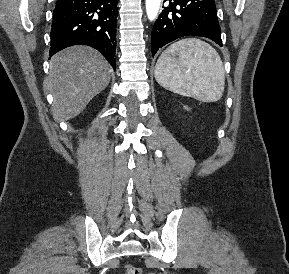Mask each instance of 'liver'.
<instances>
[{
  "instance_id": "1",
  "label": "liver",
  "mask_w": 289,
  "mask_h": 274,
  "mask_svg": "<svg viewBox=\"0 0 289 274\" xmlns=\"http://www.w3.org/2000/svg\"><path fill=\"white\" fill-rule=\"evenodd\" d=\"M111 73L109 63L91 47L73 46L55 54L47 81L54 118L67 121L78 116L108 86Z\"/></svg>"
}]
</instances>
